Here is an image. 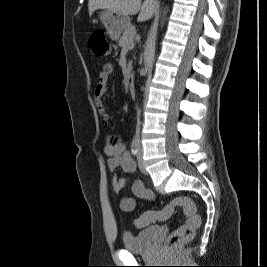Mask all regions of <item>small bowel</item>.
<instances>
[{"instance_id": "small-bowel-1", "label": "small bowel", "mask_w": 267, "mask_h": 267, "mask_svg": "<svg viewBox=\"0 0 267 267\" xmlns=\"http://www.w3.org/2000/svg\"><path fill=\"white\" fill-rule=\"evenodd\" d=\"M113 73L111 64H105L97 77V83L94 89V101L98 107L102 124L107 126L109 124L110 115L103 105V97L107 90V83L109 77ZM104 153L107 156V164L110 171L117 169L123 170L127 174H133L136 171V163L127 151L124 143L118 137L107 136L104 146ZM112 186L117 194H122L120 198V208L125 212H132L136 208V200L132 197L124 195L127 187V182L115 176L112 180ZM131 192L133 195L140 199L153 200L155 195L153 191L146 188L142 181L134 180L131 184Z\"/></svg>"}]
</instances>
